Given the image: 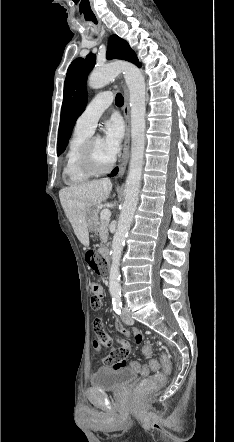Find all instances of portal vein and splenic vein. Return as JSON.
<instances>
[{
    "instance_id": "18ae733b",
    "label": "portal vein and splenic vein",
    "mask_w": 234,
    "mask_h": 442,
    "mask_svg": "<svg viewBox=\"0 0 234 442\" xmlns=\"http://www.w3.org/2000/svg\"><path fill=\"white\" fill-rule=\"evenodd\" d=\"M111 216V212L109 209H103L100 213V218L102 220H109Z\"/></svg>"
}]
</instances>
